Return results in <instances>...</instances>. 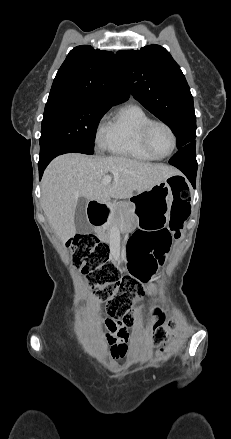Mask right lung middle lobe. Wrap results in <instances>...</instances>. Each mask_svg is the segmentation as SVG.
Instances as JSON below:
<instances>
[{
  "mask_svg": "<svg viewBox=\"0 0 231 439\" xmlns=\"http://www.w3.org/2000/svg\"><path fill=\"white\" fill-rule=\"evenodd\" d=\"M110 106L90 102H63L46 105L42 121L40 159L61 148L93 154L98 123Z\"/></svg>",
  "mask_w": 231,
  "mask_h": 439,
  "instance_id": "1",
  "label": "right lung middle lobe"
}]
</instances>
